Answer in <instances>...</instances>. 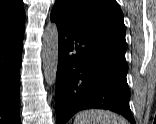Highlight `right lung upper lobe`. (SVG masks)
I'll list each match as a JSON object with an SVG mask.
<instances>
[{"label": "right lung upper lobe", "mask_w": 156, "mask_h": 124, "mask_svg": "<svg viewBox=\"0 0 156 124\" xmlns=\"http://www.w3.org/2000/svg\"><path fill=\"white\" fill-rule=\"evenodd\" d=\"M25 25V11L21 0H0V30L12 31Z\"/></svg>", "instance_id": "right-lung-upper-lobe-1"}]
</instances>
